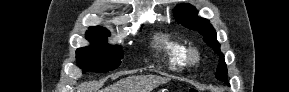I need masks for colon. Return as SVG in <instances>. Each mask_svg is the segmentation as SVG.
<instances>
[{"instance_id":"colon-1","label":"colon","mask_w":289,"mask_h":92,"mask_svg":"<svg viewBox=\"0 0 289 92\" xmlns=\"http://www.w3.org/2000/svg\"><path fill=\"white\" fill-rule=\"evenodd\" d=\"M188 92H198V91L196 89H194V88H191V89L188 90Z\"/></svg>"}]
</instances>
